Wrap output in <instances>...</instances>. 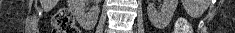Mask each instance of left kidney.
Instances as JSON below:
<instances>
[{
	"mask_svg": "<svg viewBox=\"0 0 235 33\" xmlns=\"http://www.w3.org/2000/svg\"><path fill=\"white\" fill-rule=\"evenodd\" d=\"M178 0H163L162 7L157 10L153 1L148 3L147 13L150 21L156 26L170 23L177 8Z\"/></svg>",
	"mask_w": 235,
	"mask_h": 33,
	"instance_id": "5707ae66",
	"label": "left kidney"
}]
</instances>
